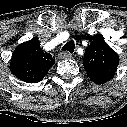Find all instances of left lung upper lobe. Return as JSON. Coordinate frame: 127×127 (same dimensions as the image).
<instances>
[{
  "mask_svg": "<svg viewBox=\"0 0 127 127\" xmlns=\"http://www.w3.org/2000/svg\"><path fill=\"white\" fill-rule=\"evenodd\" d=\"M119 56L104 41L103 35L90 39L85 49L83 65L89 78L96 84H103L115 75Z\"/></svg>",
  "mask_w": 127,
  "mask_h": 127,
  "instance_id": "1",
  "label": "left lung upper lobe"
}]
</instances>
